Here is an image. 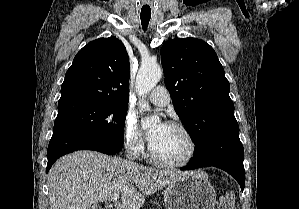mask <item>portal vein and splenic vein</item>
I'll return each instance as SVG.
<instances>
[{
  "label": "portal vein and splenic vein",
  "instance_id": "1",
  "mask_svg": "<svg viewBox=\"0 0 299 209\" xmlns=\"http://www.w3.org/2000/svg\"><path fill=\"white\" fill-rule=\"evenodd\" d=\"M118 198H119V193H115L111 196L110 200L112 202H116L118 200Z\"/></svg>",
  "mask_w": 299,
  "mask_h": 209
}]
</instances>
